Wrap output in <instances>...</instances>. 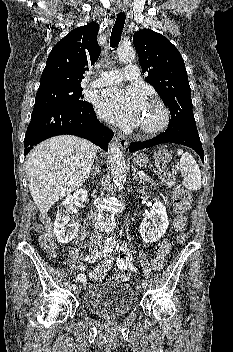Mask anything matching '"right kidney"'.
<instances>
[{"mask_svg":"<svg viewBox=\"0 0 233 352\" xmlns=\"http://www.w3.org/2000/svg\"><path fill=\"white\" fill-rule=\"evenodd\" d=\"M87 195L88 191L86 189H79L75 191L73 195H68L62 203V206L65 208V210H58L54 222V233L60 243H69L78 233V223L69 224L68 229L66 227L70 220L69 211L72 209L75 202L83 203L86 200Z\"/></svg>","mask_w":233,"mask_h":352,"instance_id":"obj_1","label":"right kidney"}]
</instances>
